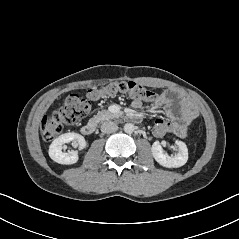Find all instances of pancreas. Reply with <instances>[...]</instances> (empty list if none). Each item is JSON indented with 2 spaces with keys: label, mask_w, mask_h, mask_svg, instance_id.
<instances>
[{
  "label": "pancreas",
  "mask_w": 239,
  "mask_h": 239,
  "mask_svg": "<svg viewBox=\"0 0 239 239\" xmlns=\"http://www.w3.org/2000/svg\"><path fill=\"white\" fill-rule=\"evenodd\" d=\"M114 117L115 115L110 113L109 111L102 110L98 112V114L94 117V120L97 122H103L105 120L112 119Z\"/></svg>",
  "instance_id": "pancreas-1"
}]
</instances>
